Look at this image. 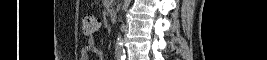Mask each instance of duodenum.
<instances>
[{
  "mask_svg": "<svg viewBox=\"0 0 267 60\" xmlns=\"http://www.w3.org/2000/svg\"><path fill=\"white\" fill-rule=\"evenodd\" d=\"M108 14L112 21H116L118 19L117 10L115 8L110 9Z\"/></svg>",
  "mask_w": 267,
  "mask_h": 60,
  "instance_id": "obj_1",
  "label": "duodenum"
}]
</instances>
